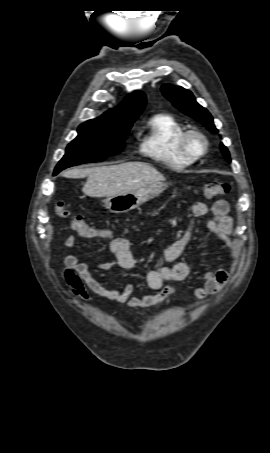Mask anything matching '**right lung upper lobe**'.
Returning a JSON list of instances; mask_svg holds the SVG:
<instances>
[{
  "label": "right lung upper lobe",
  "instance_id": "1",
  "mask_svg": "<svg viewBox=\"0 0 270 453\" xmlns=\"http://www.w3.org/2000/svg\"><path fill=\"white\" fill-rule=\"evenodd\" d=\"M146 97L141 91H135L127 96L123 102L114 109L105 112L99 118L89 121L100 122L113 127H127L133 124L143 111Z\"/></svg>",
  "mask_w": 270,
  "mask_h": 453
}]
</instances>
